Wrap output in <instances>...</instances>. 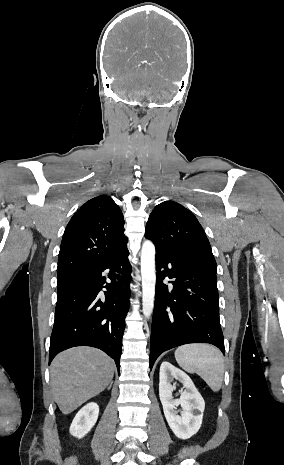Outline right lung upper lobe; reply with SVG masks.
<instances>
[{
    "instance_id": "1",
    "label": "right lung upper lobe",
    "mask_w": 284,
    "mask_h": 465,
    "mask_svg": "<svg viewBox=\"0 0 284 465\" xmlns=\"http://www.w3.org/2000/svg\"><path fill=\"white\" fill-rule=\"evenodd\" d=\"M124 218L110 196L81 206L69 221L58 256V279L92 268L126 247Z\"/></svg>"
}]
</instances>
